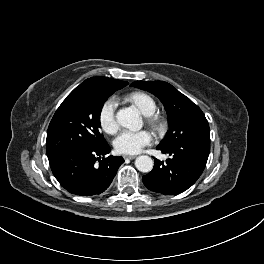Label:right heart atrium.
<instances>
[{
    "label": "right heart atrium",
    "mask_w": 264,
    "mask_h": 264,
    "mask_svg": "<svg viewBox=\"0 0 264 264\" xmlns=\"http://www.w3.org/2000/svg\"><path fill=\"white\" fill-rule=\"evenodd\" d=\"M117 99L110 97L106 99L100 107L98 118L102 129L108 133H114L118 128L116 118Z\"/></svg>",
    "instance_id": "1"
}]
</instances>
